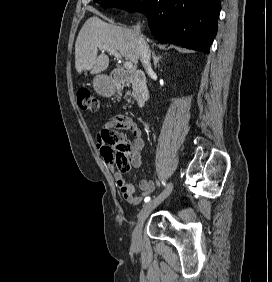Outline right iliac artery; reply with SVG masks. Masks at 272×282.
Instances as JSON below:
<instances>
[{
  "instance_id": "obj_1",
  "label": "right iliac artery",
  "mask_w": 272,
  "mask_h": 282,
  "mask_svg": "<svg viewBox=\"0 0 272 282\" xmlns=\"http://www.w3.org/2000/svg\"><path fill=\"white\" fill-rule=\"evenodd\" d=\"M148 201H150V197L145 198V202H148Z\"/></svg>"
}]
</instances>
